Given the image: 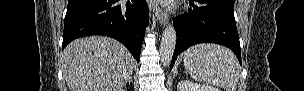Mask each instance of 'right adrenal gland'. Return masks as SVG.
I'll return each mask as SVG.
<instances>
[{"label": "right adrenal gland", "instance_id": "2a0ac1e0", "mask_svg": "<svg viewBox=\"0 0 304 91\" xmlns=\"http://www.w3.org/2000/svg\"><path fill=\"white\" fill-rule=\"evenodd\" d=\"M132 82V79H130L129 81H128V83L130 84Z\"/></svg>", "mask_w": 304, "mask_h": 91}]
</instances>
